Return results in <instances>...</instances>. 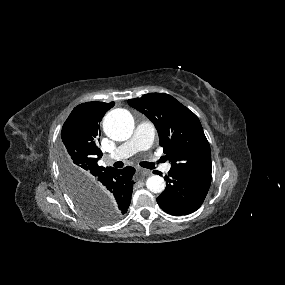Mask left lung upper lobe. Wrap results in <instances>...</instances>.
Wrapping results in <instances>:
<instances>
[{
    "label": "left lung upper lobe",
    "instance_id": "left-lung-upper-lobe-1",
    "mask_svg": "<svg viewBox=\"0 0 285 285\" xmlns=\"http://www.w3.org/2000/svg\"><path fill=\"white\" fill-rule=\"evenodd\" d=\"M133 108L145 114L155 125L159 144L174 172L211 180L210 146L198 117L174 97L151 93L130 99Z\"/></svg>",
    "mask_w": 285,
    "mask_h": 285
}]
</instances>
